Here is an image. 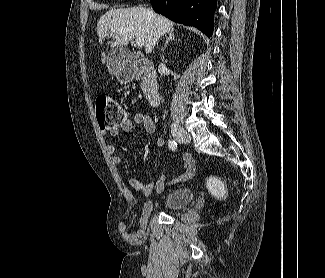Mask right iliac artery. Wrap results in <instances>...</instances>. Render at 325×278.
<instances>
[{
	"label": "right iliac artery",
	"mask_w": 325,
	"mask_h": 278,
	"mask_svg": "<svg viewBox=\"0 0 325 278\" xmlns=\"http://www.w3.org/2000/svg\"><path fill=\"white\" fill-rule=\"evenodd\" d=\"M168 146L172 151L177 150V143L174 140H168Z\"/></svg>",
	"instance_id": "1"
}]
</instances>
